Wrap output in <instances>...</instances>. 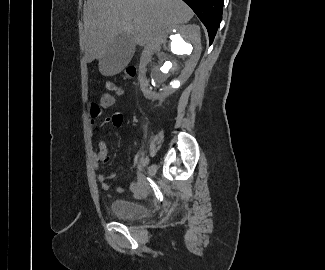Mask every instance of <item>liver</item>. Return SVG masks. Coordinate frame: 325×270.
I'll return each instance as SVG.
<instances>
[{"instance_id":"6515ba94","label":"liver","mask_w":325,"mask_h":270,"mask_svg":"<svg viewBox=\"0 0 325 270\" xmlns=\"http://www.w3.org/2000/svg\"><path fill=\"white\" fill-rule=\"evenodd\" d=\"M192 17L193 11L182 0H88L84 6L85 60L100 61L121 34H129L135 44L145 46L146 55L166 29Z\"/></svg>"}]
</instances>
